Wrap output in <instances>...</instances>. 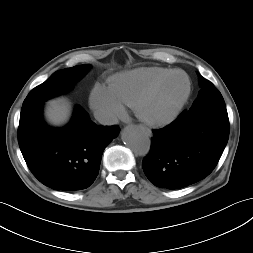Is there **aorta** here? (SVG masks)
<instances>
[{
  "instance_id": "762f6f07",
  "label": "aorta",
  "mask_w": 253,
  "mask_h": 253,
  "mask_svg": "<svg viewBox=\"0 0 253 253\" xmlns=\"http://www.w3.org/2000/svg\"><path fill=\"white\" fill-rule=\"evenodd\" d=\"M122 140L137 155H146L150 150L151 140L147 133L138 126H127L122 132Z\"/></svg>"
}]
</instances>
